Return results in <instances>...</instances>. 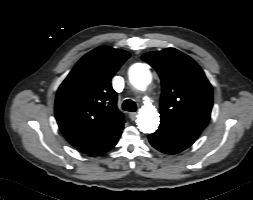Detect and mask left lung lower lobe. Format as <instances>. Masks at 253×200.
Here are the masks:
<instances>
[{
    "instance_id": "1",
    "label": "left lung lower lobe",
    "mask_w": 253,
    "mask_h": 200,
    "mask_svg": "<svg viewBox=\"0 0 253 200\" xmlns=\"http://www.w3.org/2000/svg\"><path fill=\"white\" fill-rule=\"evenodd\" d=\"M201 131L161 119L159 129L148 136L151 145L165 154H177L191 146Z\"/></svg>"
}]
</instances>
